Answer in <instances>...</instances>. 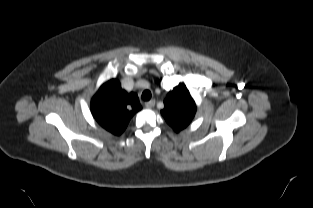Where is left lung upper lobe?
Segmentation results:
<instances>
[{"label":"left lung upper lobe","instance_id":"1","mask_svg":"<svg viewBox=\"0 0 313 208\" xmlns=\"http://www.w3.org/2000/svg\"><path fill=\"white\" fill-rule=\"evenodd\" d=\"M164 105L161 114L176 132L186 128L196 113L195 102L183 83L168 93Z\"/></svg>","mask_w":313,"mask_h":208}]
</instances>
